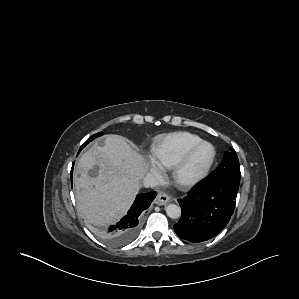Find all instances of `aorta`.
<instances>
[{
  "label": "aorta",
  "instance_id": "1",
  "mask_svg": "<svg viewBox=\"0 0 299 299\" xmlns=\"http://www.w3.org/2000/svg\"><path fill=\"white\" fill-rule=\"evenodd\" d=\"M168 217L177 219L181 216V208L176 204H168L166 207Z\"/></svg>",
  "mask_w": 299,
  "mask_h": 299
}]
</instances>
